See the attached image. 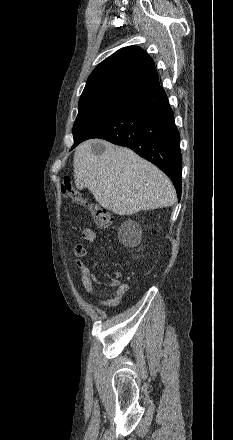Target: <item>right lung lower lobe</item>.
<instances>
[{
    "label": "right lung lower lobe",
    "instance_id": "98d812e1",
    "mask_svg": "<svg viewBox=\"0 0 233 440\" xmlns=\"http://www.w3.org/2000/svg\"><path fill=\"white\" fill-rule=\"evenodd\" d=\"M90 138H101L128 147L155 164L173 181L180 200L182 156L179 132L162 87L127 102L119 112L82 141Z\"/></svg>",
    "mask_w": 233,
    "mask_h": 440
}]
</instances>
